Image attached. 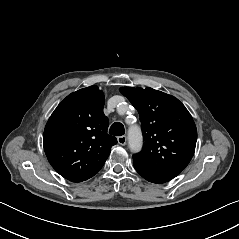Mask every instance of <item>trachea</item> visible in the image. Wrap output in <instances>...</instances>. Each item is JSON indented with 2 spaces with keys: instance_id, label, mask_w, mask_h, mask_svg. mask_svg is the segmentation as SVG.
<instances>
[{
  "instance_id": "1",
  "label": "trachea",
  "mask_w": 239,
  "mask_h": 239,
  "mask_svg": "<svg viewBox=\"0 0 239 239\" xmlns=\"http://www.w3.org/2000/svg\"><path fill=\"white\" fill-rule=\"evenodd\" d=\"M109 133L114 136L124 135V126L120 122H115L111 125Z\"/></svg>"
}]
</instances>
